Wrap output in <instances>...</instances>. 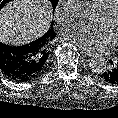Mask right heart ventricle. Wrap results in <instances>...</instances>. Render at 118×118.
I'll return each mask as SVG.
<instances>
[{
	"label": "right heart ventricle",
	"instance_id": "right-heart-ventricle-1",
	"mask_svg": "<svg viewBox=\"0 0 118 118\" xmlns=\"http://www.w3.org/2000/svg\"><path fill=\"white\" fill-rule=\"evenodd\" d=\"M99 10H104L118 2V0H92Z\"/></svg>",
	"mask_w": 118,
	"mask_h": 118
}]
</instances>
